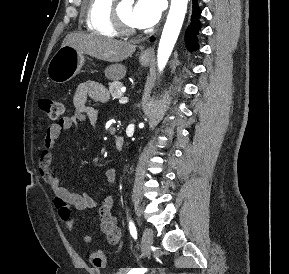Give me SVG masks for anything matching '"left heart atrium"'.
<instances>
[{"label": "left heart atrium", "mask_w": 289, "mask_h": 274, "mask_svg": "<svg viewBox=\"0 0 289 274\" xmlns=\"http://www.w3.org/2000/svg\"><path fill=\"white\" fill-rule=\"evenodd\" d=\"M161 12V0H137L132 9L131 21L137 28H148L157 23Z\"/></svg>", "instance_id": "1"}]
</instances>
